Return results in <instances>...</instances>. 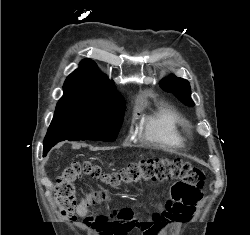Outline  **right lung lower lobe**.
Listing matches in <instances>:
<instances>
[{
	"instance_id": "obj_1",
	"label": "right lung lower lobe",
	"mask_w": 250,
	"mask_h": 235,
	"mask_svg": "<svg viewBox=\"0 0 250 235\" xmlns=\"http://www.w3.org/2000/svg\"><path fill=\"white\" fill-rule=\"evenodd\" d=\"M55 144H57V143L54 142V143L44 144L43 155L45 156V155L47 154V152H48Z\"/></svg>"
}]
</instances>
